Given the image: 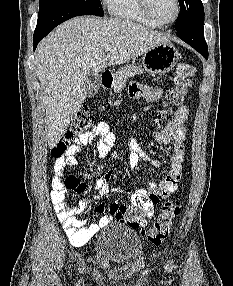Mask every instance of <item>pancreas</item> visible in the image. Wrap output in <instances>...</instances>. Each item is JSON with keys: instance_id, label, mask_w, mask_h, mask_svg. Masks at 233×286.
Returning <instances> with one entry per match:
<instances>
[{"instance_id": "obj_1", "label": "pancreas", "mask_w": 233, "mask_h": 286, "mask_svg": "<svg viewBox=\"0 0 233 286\" xmlns=\"http://www.w3.org/2000/svg\"><path fill=\"white\" fill-rule=\"evenodd\" d=\"M142 73H144V70L140 68L139 66H136L133 64H127L124 67H121L115 73V80L113 83L114 91L121 92L129 77L140 75Z\"/></svg>"}]
</instances>
